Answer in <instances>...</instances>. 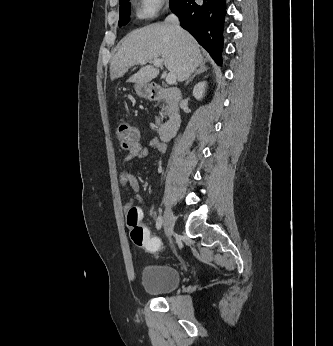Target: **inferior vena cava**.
Masks as SVG:
<instances>
[{
  "label": "inferior vena cava",
  "mask_w": 333,
  "mask_h": 346,
  "mask_svg": "<svg viewBox=\"0 0 333 346\" xmlns=\"http://www.w3.org/2000/svg\"><path fill=\"white\" fill-rule=\"evenodd\" d=\"M166 22L172 24L177 30H181L179 19L176 15L171 14L166 18Z\"/></svg>",
  "instance_id": "obj_1"
}]
</instances>
